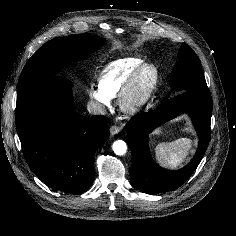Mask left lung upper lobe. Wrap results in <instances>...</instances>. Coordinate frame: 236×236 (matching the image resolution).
Segmentation results:
<instances>
[{"mask_svg": "<svg viewBox=\"0 0 236 236\" xmlns=\"http://www.w3.org/2000/svg\"><path fill=\"white\" fill-rule=\"evenodd\" d=\"M170 85L173 90L179 92L208 88L200 60L188 44L181 46L179 59L172 71Z\"/></svg>", "mask_w": 236, "mask_h": 236, "instance_id": "5c2ea615", "label": "left lung upper lobe"}]
</instances>
